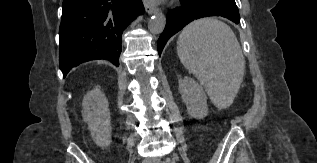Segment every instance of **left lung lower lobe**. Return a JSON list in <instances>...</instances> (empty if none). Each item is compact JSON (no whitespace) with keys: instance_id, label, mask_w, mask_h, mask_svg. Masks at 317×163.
Here are the masks:
<instances>
[{"instance_id":"1","label":"left lung lower lobe","mask_w":317,"mask_h":163,"mask_svg":"<svg viewBox=\"0 0 317 163\" xmlns=\"http://www.w3.org/2000/svg\"><path fill=\"white\" fill-rule=\"evenodd\" d=\"M181 7L167 14L166 27L158 40V53L161 52L168 39L193 20L222 16L238 24L239 11L235 4L223 0H180Z\"/></svg>"}]
</instances>
